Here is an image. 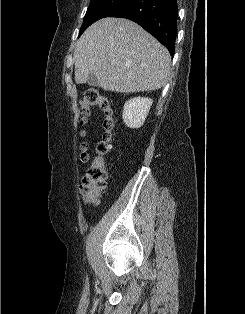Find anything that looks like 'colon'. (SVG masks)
I'll return each instance as SVG.
<instances>
[{"instance_id": "colon-1", "label": "colon", "mask_w": 245, "mask_h": 314, "mask_svg": "<svg viewBox=\"0 0 245 314\" xmlns=\"http://www.w3.org/2000/svg\"><path fill=\"white\" fill-rule=\"evenodd\" d=\"M93 107L99 109L104 116V133L96 145V155L91 160L87 153V145H81L80 159L83 163H88L80 187V193L86 205L97 204L101 192L106 186V157L111 151V132L114 128L111 100L108 96L101 94L96 89H88L83 94L80 105L82 115L81 123L85 122L86 118L89 116L90 109Z\"/></svg>"}]
</instances>
